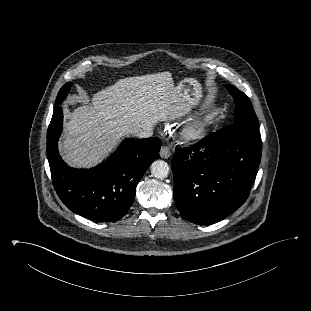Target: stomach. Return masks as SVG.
Segmentation results:
<instances>
[{
	"label": "stomach",
	"instance_id": "1",
	"mask_svg": "<svg viewBox=\"0 0 311 311\" xmlns=\"http://www.w3.org/2000/svg\"><path fill=\"white\" fill-rule=\"evenodd\" d=\"M177 87L192 104L199 102L203 96L201 84L196 78H184Z\"/></svg>",
	"mask_w": 311,
	"mask_h": 311
}]
</instances>
